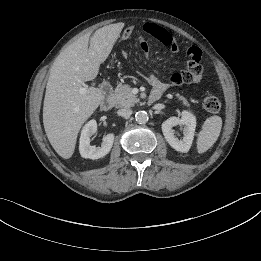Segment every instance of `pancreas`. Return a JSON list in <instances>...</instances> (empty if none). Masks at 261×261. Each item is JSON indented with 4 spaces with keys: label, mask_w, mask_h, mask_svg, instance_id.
<instances>
[{
    "label": "pancreas",
    "mask_w": 261,
    "mask_h": 261,
    "mask_svg": "<svg viewBox=\"0 0 261 261\" xmlns=\"http://www.w3.org/2000/svg\"><path fill=\"white\" fill-rule=\"evenodd\" d=\"M176 97L182 101L183 105L190 107V104L185 97L180 94H176ZM112 99L114 100L116 107H131L138 102L137 96L132 93L129 85H121L118 87L112 95Z\"/></svg>",
    "instance_id": "cf45deb5"
}]
</instances>
